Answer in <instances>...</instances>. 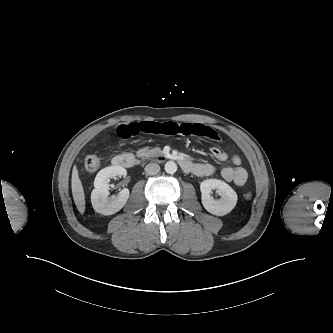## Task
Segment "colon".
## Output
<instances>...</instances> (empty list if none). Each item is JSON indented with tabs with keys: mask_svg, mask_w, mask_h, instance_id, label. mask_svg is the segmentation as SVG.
Returning a JSON list of instances; mask_svg holds the SVG:
<instances>
[{
	"mask_svg": "<svg viewBox=\"0 0 333 333\" xmlns=\"http://www.w3.org/2000/svg\"><path fill=\"white\" fill-rule=\"evenodd\" d=\"M102 163V158L98 155H88L84 160L85 169L88 172H95L99 169ZM244 198L246 200H250L252 198V194L250 192H246L244 194Z\"/></svg>",
	"mask_w": 333,
	"mask_h": 333,
	"instance_id": "5ec220e1",
	"label": "colon"
}]
</instances>
